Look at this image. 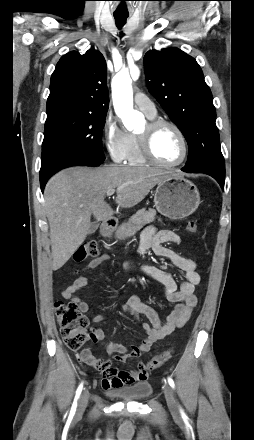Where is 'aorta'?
<instances>
[{"instance_id": "1", "label": "aorta", "mask_w": 254, "mask_h": 440, "mask_svg": "<svg viewBox=\"0 0 254 440\" xmlns=\"http://www.w3.org/2000/svg\"><path fill=\"white\" fill-rule=\"evenodd\" d=\"M140 71L134 69V78L138 79ZM112 98L116 115L121 118L129 131L139 128L143 123V115L133 109L132 79L128 69L118 72L112 79Z\"/></svg>"}]
</instances>
